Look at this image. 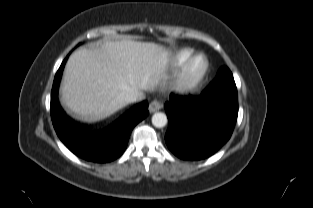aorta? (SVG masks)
<instances>
[{
  "label": "aorta",
  "mask_w": 313,
  "mask_h": 208,
  "mask_svg": "<svg viewBox=\"0 0 313 208\" xmlns=\"http://www.w3.org/2000/svg\"><path fill=\"white\" fill-rule=\"evenodd\" d=\"M167 122V116L162 112H157L152 116V124L157 128L164 127Z\"/></svg>",
  "instance_id": "762f6f07"
}]
</instances>
